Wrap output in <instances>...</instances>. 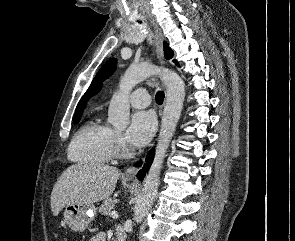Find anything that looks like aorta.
Masks as SVG:
<instances>
[{"instance_id": "762f6f07", "label": "aorta", "mask_w": 295, "mask_h": 241, "mask_svg": "<svg viewBox=\"0 0 295 241\" xmlns=\"http://www.w3.org/2000/svg\"><path fill=\"white\" fill-rule=\"evenodd\" d=\"M155 74L160 76L166 86V104L154 160L143 180L134 208V220L137 223L148 213L157 194L162 164L183 109L185 85L181 77L169 69H161L148 63L131 65L122 76L119 90L113 95L108 109V122L116 129L125 130L129 124L130 92L135 85Z\"/></svg>"}]
</instances>
